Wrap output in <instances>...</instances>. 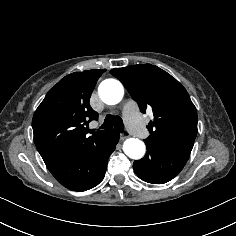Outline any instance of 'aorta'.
<instances>
[{
    "instance_id": "obj_1",
    "label": "aorta",
    "mask_w": 236,
    "mask_h": 236,
    "mask_svg": "<svg viewBox=\"0 0 236 236\" xmlns=\"http://www.w3.org/2000/svg\"><path fill=\"white\" fill-rule=\"evenodd\" d=\"M99 96L108 105L119 103L124 95L122 84L115 79H106L101 82L98 88ZM124 153L131 159H141L146 151L143 141L137 138H129L123 144Z\"/></svg>"
}]
</instances>
